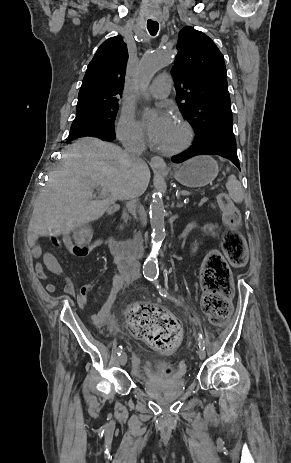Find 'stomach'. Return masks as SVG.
<instances>
[{"label": "stomach", "instance_id": "obj_1", "mask_svg": "<svg viewBox=\"0 0 291 463\" xmlns=\"http://www.w3.org/2000/svg\"><path fill=\"white\" fill-rule=\"evenodd\" d=\"M218 165L210 156H197L181 165L175 172V179L187 187H203L218 175Z\"/></svg>", "mask_w": 291, "mask_h": 463}]
</instances>
